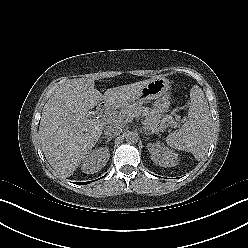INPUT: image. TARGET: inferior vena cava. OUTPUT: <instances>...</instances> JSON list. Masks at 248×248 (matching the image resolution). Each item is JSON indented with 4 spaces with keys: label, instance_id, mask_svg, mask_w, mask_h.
Returning a JSON list of instances; mask_svg holds the SVG:
<instances>
[{
    "label": "inferior vena cava",
    "instance_id": "obj_1",
    "mask_svg": "<svg viewBox=\"0 0 248 248\" xmlns=\"http://www.w3.org/2000/svg\"><path fill=\"white\" fill-rule=\"evenodd\" d=\"M122 133V127L118 124L107 125L104 129V134L106 136L115 137Z\"/></svg>",
    "mask_w": 248,
    "mask_h": 248
}]
</instances>
